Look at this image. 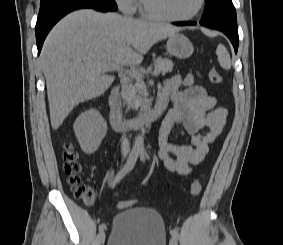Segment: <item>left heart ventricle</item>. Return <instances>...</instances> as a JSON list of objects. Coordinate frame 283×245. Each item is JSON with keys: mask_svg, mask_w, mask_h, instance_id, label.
<instances>
[{"mask_svg": "<svg viewBox=\"0 0 283 245\" xmlns=\"http://www.w3.org/2000/svg\"><path fill=\"white\" fill-rule=\"evenodd\" d=\"M148 8L156 13L181 17L192 13L199 0H145Z\"/></svg>", "mask_w": 283, "mask_h": 245, "instance_id": "left-heart-ventricle-1", "label": "left heart ventricle"}]
</instances>
